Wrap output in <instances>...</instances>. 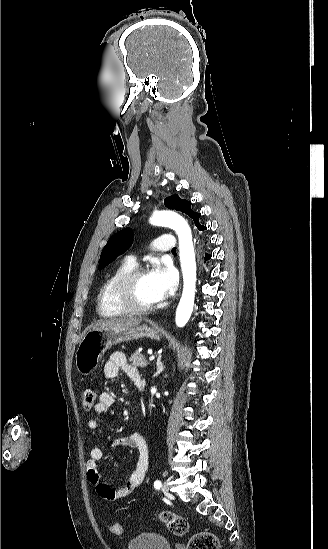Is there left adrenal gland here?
Wrapping results in <instances>:
<instances>
[{
  "label": "left adrenal gland",
  "instance_id": "a2214340",
  "mask_svg": "<svg viewBox=\"0 0 328 549\" xmlns=\"http://www.w3.org/2000/svg\"><path fill=\"white\" fill-rule=\"evenodd\" d=\"M165 367H163V365H161V357H160V361H158L157 363V371H156V375H159V373H162V371H164Z\"/></svg>",
  "mask_w": 328,
  "mask_h": 549
}]
</instances>
